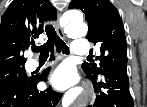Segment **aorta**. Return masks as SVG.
Masks as SVG:
<instances>
[{
  "label": "aorta",
  "mask_w": 147,
  "mask_h": 107,
  "mask_svg": "<svg viewBox=\"0 0 147 107\" xmlns=\"http://www.w3.org/2000/svg\"><path fill=\"white\" fill-rule=\"evenodd\" d=\"M64 31L71 38L85 37L88 31L86 24L80 17H73L71 20L66 18ZM89 102L88 94L81 92L77 97V103L79 106H86Z\"/></svg>",
  "instance_id": "762f6f07"
}]
</instances>
